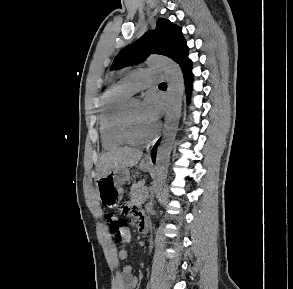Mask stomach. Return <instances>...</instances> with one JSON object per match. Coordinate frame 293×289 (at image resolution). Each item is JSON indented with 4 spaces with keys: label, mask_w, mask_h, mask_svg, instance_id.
<instances>
[{
    "label": "stomach",
    "mask_w": 293,
    "mask_h": 289,
    "mask_svg": "<svg viewBox=\"0 0 293 289\" xmlns=\"http://www.w3.org/2000/svg\"><path fill=\"white\" fill-rule=\"evenodd\" d=\"M139 168L147 171L150 164L140 163ZM130 179L128 168H113L106 176H101L97 181V192L100 201L108 208H115L122 200L123 184Z\"/></svg>",
    "instance_id": "1"
}]
</instances>
